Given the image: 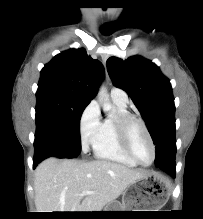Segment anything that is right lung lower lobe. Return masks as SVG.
<instances>
[{"label": "right lung lower lobe", "mask_w": 203, "mask_h": 219, "mask_svg": "<svg viewBox=\"0 0 203 219\" xmlns=\"http://www.w3.org/2000/svg\"><path fill=\"white\" fill-rule=\"evenodd\" d=\"M43 159L41 157H37L36 155L34 156V164H33V167L35 168L37 166V164L39 162H41Z\"/></svg>", "instance_id": "98d812e1"}]
</instances>
